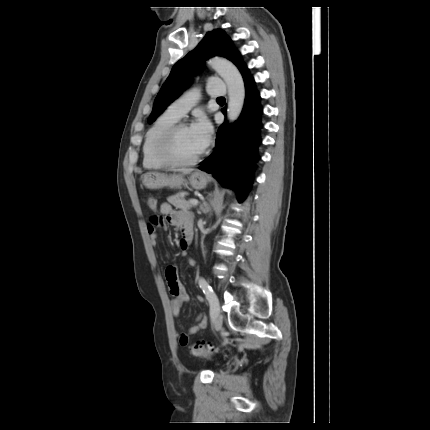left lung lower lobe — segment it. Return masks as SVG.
<instances>
[{
  "label": "left lung lower lobe",
  "instance_id": "0a47b994",
  "mask_svg": "<svg viewBox=\"0 0 430 430\" xmlns=\"http://www.w3.org/2000/svg\"><path fill=\"white\" fill-rule=\"evenodd\" d=\"M242 76L246 91L242 113L234 124L219 127L215 151L199 167L211 173L223 186L236 190L239 202L245 200L252 186L262 127V107L254 79L247 71ZM222 112L225 113V109Z\"/></svg>",
  "mask_w": 430,
  "mask_h": 430
}]
</instances>
